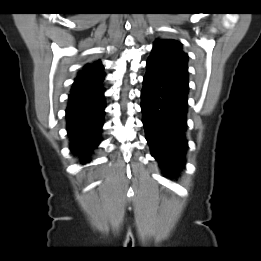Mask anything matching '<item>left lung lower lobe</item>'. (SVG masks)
<instances>
[{
	"label": "left lung lower lobe",
	"instance_id": "1",
	"mask_svg": "<svg viewBox=\"0 0 261 261\" xmlns=\"http://www.w3.org/2000/svg\"><path fill=\"white\" fill-rule=\"evenodd\" d=\"M141 110L152 156L164 174L177 175L185 166L188 75L147 61Z\"/></svg>",
	"mask_w": 261,
	"mask_h": 261
}]
</instances>
